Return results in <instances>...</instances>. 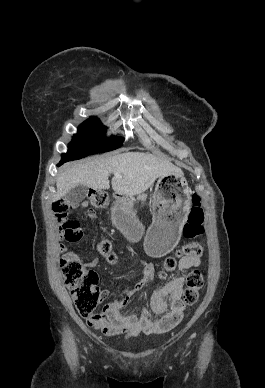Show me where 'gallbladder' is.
<instances>
[{
  "label": "gallbladder",
  "mask_w": 265,
  "mask_h": 388,
  "mask_svg": "<svg viewBox=\"0 0 265 388\" xmlns=\"http://www.w3.org/2000/svg\"><path fill=\"white\" fill-rule=\"evenodd\" d=\"M88 194L87 186H83V184H79L76 188H72L68 194H66L64 200L71 204V206H79L80 202L86 198Z\"/></svg>",
  "instance_id": "bac80fb5"
}]
</instances>
